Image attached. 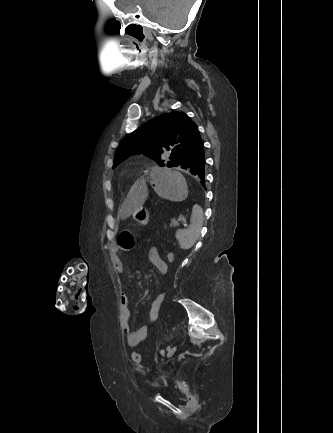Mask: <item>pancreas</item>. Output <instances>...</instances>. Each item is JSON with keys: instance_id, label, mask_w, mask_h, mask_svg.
Masks as SVG:
<instances>
[{"instance_id": "1", "label": "pancreas", "mask_w": 333, "mask_h": 433, "mask_svg": "<svg viewBox=\"0 0 333 433\" xmlns=\"http://www.w3.org/2000/svg\"><path fill=\"white\" fill-rule=\"evenodd\" d=\"M178 225H179V223H178L177 221H175V220H172V221H171V226H172V227L175 228V227H177Z\"/></svg>"}]
</instances>
